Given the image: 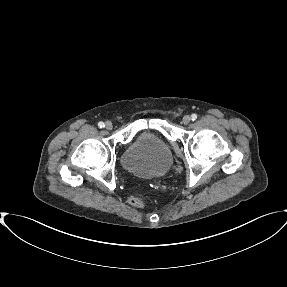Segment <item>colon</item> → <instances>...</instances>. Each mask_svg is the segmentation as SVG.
<instances>
[{"label": "colon", "instance_id": "1", "mask_svg": "<svg viewBox=\"0 0 287 287\" xmlns=\"http://www.w3.org/2000/svg\"><path fill=\"white\" fill-rule=\"evenodd\" d=\"M129 202L135 207H144L148 204L149 198L144 192L134 191L129 196Z\"/></svg>", "mask_w": 287, "mask_h": 287}]
</instances>
